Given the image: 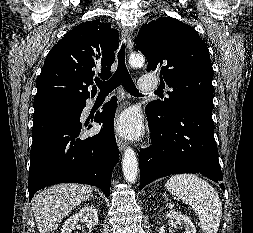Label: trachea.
<instances>
[{
	"label": "trachea",
	"instance_id": "1",
	"mask_svg": "<svg viewBox=\"0 0 253 233\" xmlns=\"http://www.w3.org/2000/svg\"><path fill=\"white\" fill-rule=\"evenodd\" d=\"M124 87V89L134 96H140L141 94L137 90L127 68L125 65V45L123 44L118 53V67L113 76L105 82L96 81V85L100 89V94H109L118 86Z\"/></svg>",
	"mask_w": 253,
	"mask_h": 233
}]
</instances>
